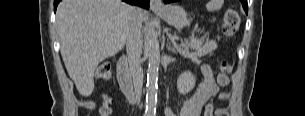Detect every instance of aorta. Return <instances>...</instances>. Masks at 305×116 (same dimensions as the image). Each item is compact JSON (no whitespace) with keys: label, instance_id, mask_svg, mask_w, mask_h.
<instances>
[{"label":"aorta","instance_id":"762f6f07","mask_svg":"<svg viewBox=\"0 0 305 116\" xmlns=\"http://www.w3.org/2000/svg\"><path fill=\"white\" fill-rule=\"evenodd\" d=\"M148 52V69L146 84V112L153 114L156 110L158 75L160 65L159 42L155 30H150L146 39Z\"/></svg>","mask_w":305,"mask_h":116}]
</instances>
